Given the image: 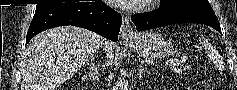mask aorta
I'll return each instance as SVG.
<instances>
[{
  "mask_svg": "<svg viewBox=\"0 0 237 90\" xmlns=\"http://www.w3.org/2000/svg\"><path fill=\"white\" fill-rule=\"evenodd\" d=\"M115 90H128V84L126 80H123V78H118Z\"/></svg>",
  "mask_w": 237,
  "mask_h": 90,
  "instance_id": "762f6f07",
  "label": "aorta"
}]
</instances>
